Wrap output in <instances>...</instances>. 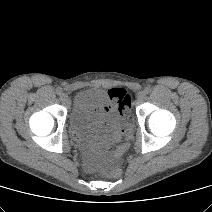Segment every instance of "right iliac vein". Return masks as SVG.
<instances>
[{
	"label": "right iliac vein",
	"instance_id": "63e3f726",
	"mask_svg": "<svg viewBox=\"0 0 212 212\" xmlns=\"http://www.w3.org/2000/svg\"><path fill=\"white\" fill-rule=\"evenodd\" d=\"M60 99L64 102V103H67L68 101V95L64 92L61 93L60 95Z\"/></svg>",
	"mask_w": 212,
	"mask_h": 212
}]
</instances>
